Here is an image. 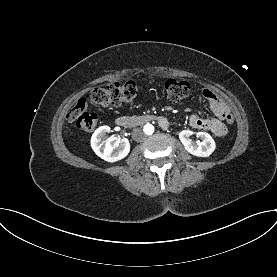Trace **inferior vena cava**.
Segmentation results:
<instances>
[{"label": "inferior vena cava", "mask_w": 277, "mask_h": 277, "mask_svg": "<svg viewBox=\"0 0 277 277\" xmlns=\"http://www.w3.org/2000/svg\"><path fill=\"white\" fill-rule=\"evenodd\" d=\"M145 136V133L139 128L134 129L132 132V137L137 142H142L145 139Z\"/></svg>", "instance_id": "inferior-vena-cava-1"}]
</instances>
